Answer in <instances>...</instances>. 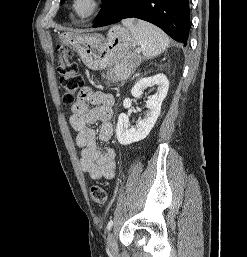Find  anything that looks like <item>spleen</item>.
I'll return each instance as SVG.
<instances>
[{"label": "spleen", "mask_w": 247, "mask_h": 257, "mask_svg": "<svg viewBox=\"0 0 247 257\" xmlns=\"http://www.w3.org/2000/svg\"><path fill=\"white\" fill-rule=\"evenodd\" d=\"M122 24L129 28L146 58L158 56L169 46L168 36L161 29L146 21L124 19Z\"/></svg>", "instance_id": "3e777b00"}]
</instances>
